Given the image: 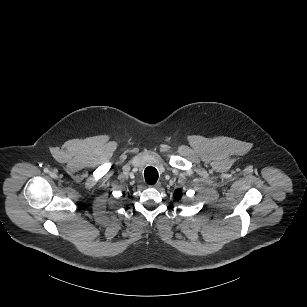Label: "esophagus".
<instances>
[{"mask_svg": "<svg viewBox=\"0 0 307 307\" xmlns=\"http://www.w3.org/2000/svg\"><path fill=\"white\" fill-rule=\"evenodd\" d=\"M154 188H160L161 187V182H156L154 185H153Z\"/></svg>", "mask_w": 307, "mask_h": 307, "instance_id": "1", "label": "esophagus"}]
</instances>
